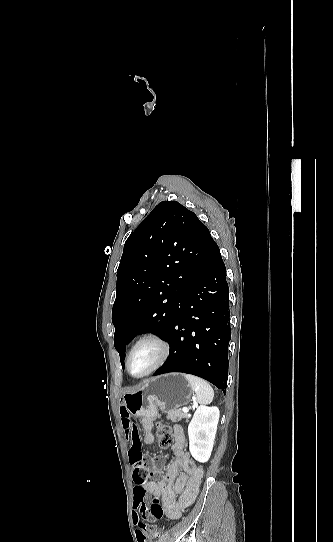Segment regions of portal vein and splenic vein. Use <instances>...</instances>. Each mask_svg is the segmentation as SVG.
Returning a JSON list of instances; mask_svg holds the SVG:
<instances>
[{
	"label": "portal vein and splenic vein",
	"mask_w": 333,
	"mask_h": 542,
	"mask_svg": "<svg viewBox=\"0 0 333 542\" xmlns=\"http://www.w3.org/2000/svg\"><path fill=\"white\" fill-rule=\"evenodd\" d=\"M182 412H185V414H188L189 410L188 408H182Z\"/></svg>",
	"instance_id": "1"
}]
</instances>
